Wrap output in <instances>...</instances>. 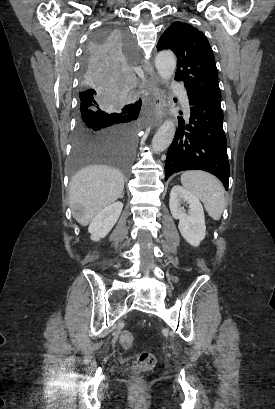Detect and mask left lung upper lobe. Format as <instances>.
<instances>
[{"instance_id": "left-lung-upper-lobe-1", "label": "left lung upper lobe", "mask_w": 275, "mask_h": 409, "mask_svg": "<svg viewBox=\"0 0 275 409\" xmlns=\"http://www.w3.org/2000/svg\"><path fill=\"white\" fill-rule=\"evenodd\" d=\"M158 50L170 49L177 57L176 80L187 92L221 101L215 59L202 32L184 22H173L159 39Z\"/></svg>"}]
</instances>
